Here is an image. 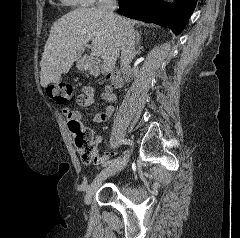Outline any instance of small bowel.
Segmentation results:
<instances>
[{"instance_id":"small-bowel-1","label":"small bowel","mask_w":240,"mask_h":238,"mask_svg":"<svg viewBox=\"0 0 240 238\" xmlns=\"http://www.w3.org/2000/svg\"><path fill=\"white\" fill-rule=\"evenodd\" d=\"M101 100L103 101H108V102H114L116 100L115 96L108 94V93H102L100 96ZM95 100V93L94 89L90 86H84L82 88L81 93L77 94L76 96V101L77 104L82 106V107H88L91 106L94 103ZM115 107L114 105H109L106 107V109L103 112L96 113L92 116L91 121L95 124H100L102 122H105L114 112ZM63 115L65 118L69 120H78L79 122L82 120V116L78 111H73L69 108H64L63 109ZM95 142L97 145L101 143V137L97 136L95 137ZM99 153V148L95 147L94 148V153L92 155V159L94 161V166H101V162H103L104 159H109L112 157L110 154H102V157L100 156ZM115 157V156H114ZM120 175H125L126 171L125 170H120L119 171Z\"/></svg>"}]
</instances>
